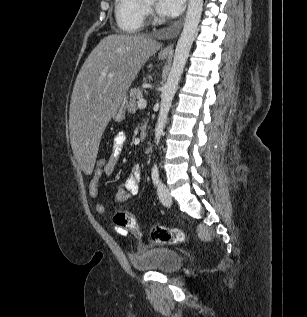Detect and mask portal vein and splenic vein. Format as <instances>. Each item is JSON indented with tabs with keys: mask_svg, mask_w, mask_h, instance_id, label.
Here are the masks:
<instances>
[{
	"mask_svg": "<svg viewBox=\"0 0 307 317\" xmlns=\"http://www.w3.org/2000/svg\"><path fill=\"white\" fill-rule=\"evenodd\" d=\"M147 105V102L145 99H139L138 102H137V106L139 109H143L145 108Z\"/></svg>",
	"mask_w": 307,
	"mask_h": 317,
	"instance_id": "18ae733b",
	"label": "portal vein and splenic vein"
}]
</instances>
